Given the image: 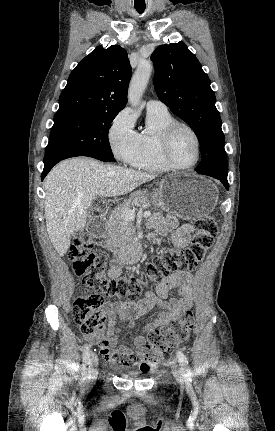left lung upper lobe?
Here are the masks:
<instances>
[{
	"mask_svg": "<svg viewBox=\"0 0 275 431\" xmlns=\"http://www.w3.org/2000/svg\"><path fill=\"white\" fill-rule=\"evenodd\" d=\"M151 59L158 98L188 123L198 137L202 161L196 171L227 174L222 122L202 65L183 42L159 46Z\"/></svg>",
	"mask_w": 275,
	"mask_h": 431,
	"instance_id": "left-lung-upper-lobe-1",
	"label": "left lung upper lobe"
}]
</instances>
